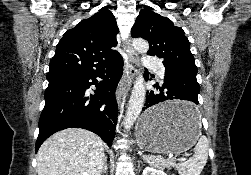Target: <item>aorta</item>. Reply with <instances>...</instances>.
Wrapping results in <instances>:
<instances>
[{"mask_svg": "<svg viewBox=\"0 0 251 175\" xmlns=\"http://www.w3.org/2000/svg\"><path fill=\"white\" fill-rule=\"evenodd\" d=\"M133 46L137 52L140 54H146L149 50L148 42L145 40H133ZM146 95V89L144 84L143 76H138L131 93V97L129 99L125 119H124V127L126 131L131 129L134 121H136V117H138L143 105L144 99Z\"/></svg>", "mask_w": 251, "mask_h": 175, "instance_id": "obj_1", "label": "aorta"}]
</instances>
